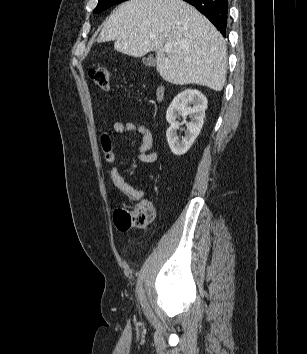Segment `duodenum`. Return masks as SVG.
Here are the masks:
<instances>
[{
  "label": "duodenum",
  "instance_id": "obj_1",
  "mask_svg": "<svg viewBox=\"0 0 307 354\" xmlns=\"http://www.w3.org/2000/svg\"><path fill=\"white\" fill-rule=\"evenodd\" d=\"M158 96L161 97V91L158 92Z\"/></svg>",
  "mask_w": 307,
  "mask_h": 354
}]
</instances>
